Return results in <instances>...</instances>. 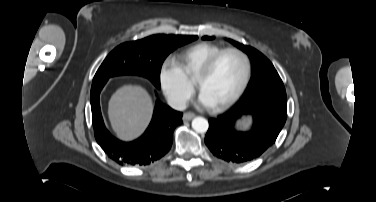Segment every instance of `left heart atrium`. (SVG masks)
Wrapping results in <instances>:
<instances>
[{
  "label": "left heart atrium",
  "mask_w": 376,
  "mask_h": 202,
  "mask_svg": "<svg viewBox=\"0 0 376 202\" xmlns=\"http://www.w3.org/2000/svg\"><path fill=\"white\" fill-rule=\"evenodd\" d=\"M200 104L203 106L211 107L212 104L209 101V99L206 97L204 93L201 92L200 97H199Z\"/></svg>",
  "instance_id": "left-heart-atrium-1"
}]
</instances>
